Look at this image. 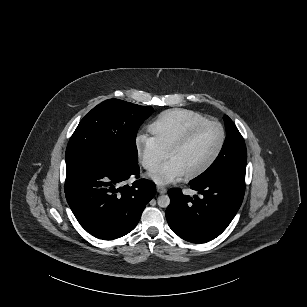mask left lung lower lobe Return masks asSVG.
Instances as JSON below:
<instances>
[{
	"label": "left lung lower lobe",
	"instance_id": "1",
	"mask_svg": "<svg viewBox=\"0 0 307 307\" xmlns=\"http://www.w3.org/2000/svg\"><path fill=\"white\" fill-rule=\"evenodd\" d=\"M202 196L191 198L180 189L168 191L170 205L166 218L170 228L181 238L193 243H205L219 236L239 210L245 192V182L233 178H215L191 184Z\"/></svg>",
	"mask_w": 307,
	"mask_h": 307
}]
</instances>
